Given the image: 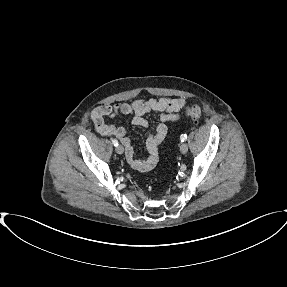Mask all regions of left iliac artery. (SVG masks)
<instances>
[{"mask_svg": "<svg viewBox=\"0 0 287 287\" xmlns=\"http://www.w3.org/2000/svg\"><path fill=\"white\" fill-rule=\"evenodd\" d=\"M180 139H181L182 142H184L187 139V135L186 134H184V135L182 134L180 136Z\"/></svg>", "mask_w": 287, "mask_h": 287, "instance_id": "obj_1", "label": "left iliac artery"}]
</instances>
